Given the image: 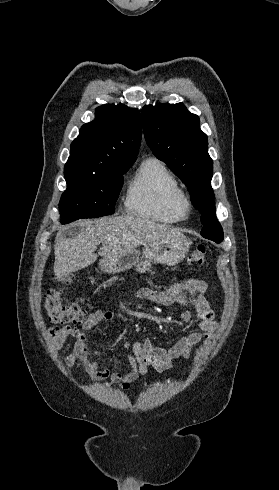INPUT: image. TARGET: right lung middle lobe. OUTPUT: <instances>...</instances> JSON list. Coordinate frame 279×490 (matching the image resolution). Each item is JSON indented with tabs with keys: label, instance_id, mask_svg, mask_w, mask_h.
Wrapping results in <instances>:
<instances>
[{
	"label": "right lung middle lobe",
	"instance_id": "1",
	"mask_svg": "<svg viewBox=\"0 0 279 490\" xmlns=\"http://www.w3.org/2000/svg\"><path fill=\"white\" fill-rule=\"evenodd\" d=\"M131 166L101 173L65 171L67 189L59 202L60 222L66 224L81 218L113 214L123 186V174Z\"/></svg>",
	"mask_w": 279,
	"mask_h": 490
}]
</instances>
